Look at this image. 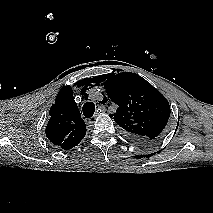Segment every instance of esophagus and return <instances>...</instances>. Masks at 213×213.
<instances>
[{
    "mask_svg": "<svg viewBox=\"0 0 213 213\" xmlns=\"http://www.w3.org/2000/svg\"><path fill=\"white\" fill-rule=\"evenodd\" d=\"M99 108L101 109L102 112H105L107 110L106 106L104 105H99ZM97 115H95L94 117H92L91 119H89V123L93 122V119L96 118Z\"/></svg>",
    "mask_w": 213,
    "mask_h": 213,
    "instance_id": "esophagus-1",
    "label": "esophagus"
}]
</instances>
